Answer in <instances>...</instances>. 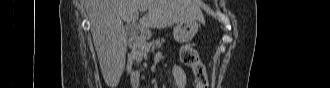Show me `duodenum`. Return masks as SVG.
<instances>
[{"mask_svg":"<svg viewBox=\"0 0 330 88\" xmlns=\"http://www.w3.org/2000/svg\"><path fill=\"white\" fill-rule=\"evenodd\" d=\"M147 38H149V35L145 33L143 30H138V32L133 35L129 39L128 43V58H129V66L127 68V75L131 79L133 85L138 84V78L133 73V53L134 50L140 46Z\"/></svg>","mask_w":330,"mask_h":88,"instance_id":"duodenum-1","label":"duodenum"}]
</instances>
